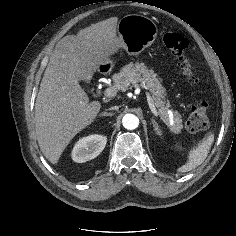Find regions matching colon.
<instances>
[{
  "label": "colon",
  "mask_w": 236,
  "mask_h": 236,
  "mask_svg": "<svg viewBox=\"0 0 236 236\" xmlns=\"http://www.w3.org/2000/svg\"><path fill=\"white\" fill-rule=\"evenodd\" d=\"M162 41L166 48L179 60L180 69L189 84L197 82V76L191 59L187 55L188 41L181 34L166 30L162 34ZM208 107L204 101L193 108L190 113L186 127L191 132H200L208 128Z\"/></svg>",
  "instance_id": "obj_1"
}]
</instances>
